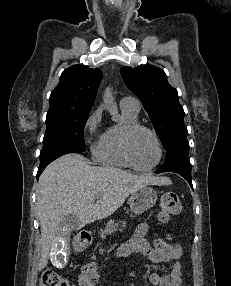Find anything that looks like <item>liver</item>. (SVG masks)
I'll return each instance as SVG.
<instances>
[{"mask_svg":"<svg viewBox=\"0 0 231 286\" xmlns=\"http://www.w3.org/2000/svg\"><path fill=\"white\" fill-rule=\"evenodd\" d=\"M171 183L167 177L138 176L118 168L90 166L79 154L58 158L46 167L38 182L36 206L41 230L38 269L46 267L65 216L76 215L81 228L112 215L137 189Z\"/></svg>","mask_w":231,"mask_h":286,"instance_id":"6515ba94","label":"liver"}]
</instances>
